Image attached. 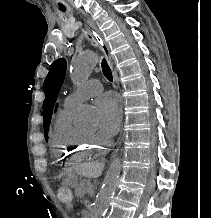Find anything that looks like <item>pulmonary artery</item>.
<instances>
[{"label":"pulmonary artery","mask_w":211,"mask_h":218,"mask_svg":"<svg viewBox=\"0 0 211 218\" xmlns=\"http://www.w3.org/2000/svg\"><path fill=\"white\" fill-rule=\"evenodd\" d=\"M103 89V86L99 80L93 79L86 82L81 88L70 93L64 99L65 108H75L78 103L82 100L88 99L98 93Z\"/></svg>","instance_id":"pulmonary-artery-1"}]
</instances>
